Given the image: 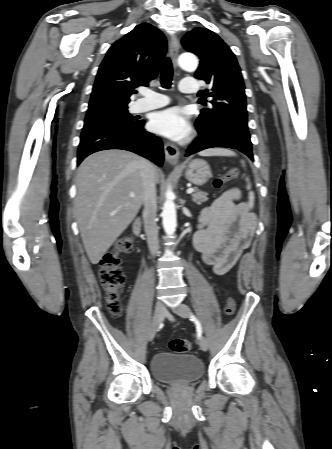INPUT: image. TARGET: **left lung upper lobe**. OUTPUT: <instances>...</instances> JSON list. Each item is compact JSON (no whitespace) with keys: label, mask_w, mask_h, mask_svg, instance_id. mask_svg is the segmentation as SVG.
I'll return each mask as SVG.
<instances>
[{"label":"left lung upper lobe","mask_w":332,"mask_h":449,"mask_svg":"<svg viewBox=\"0 0 332 449\" xmlns=\"http://www.w3.org/2000/svg\"><path fill=\"white\" fill-rule=\"evenodd\" d=\"M184 48L200 58L195 78L209 89L197 96H211L212 109L203 108L196 126L204 131L227 121L247 122L245 86L235 55L223 40L206 28H195L182 38Z\"/></svg>","instance_id":"1"}]
</instances>
